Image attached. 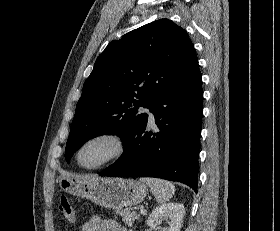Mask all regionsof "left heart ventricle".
Wrapping results in <instances>:
<instances>
[{
    "label": "left heart ventricle",
    "mask_w": 280,
    "mask_h": 231,
    "mask_svg": "<svg viewBox=\"0 0 280 231\" xmlns=\"http://www.w3.org/2000/svg\"><path fill=\"white\" fill-rule=\"evenodd\" d=\"M118 151L117 142L111 137H98L89 141L81 150L79 163L85 169H92L106 163Z\"/></svg>",
    "instance_id": "obj_1"
}]
</instances>
